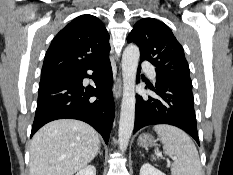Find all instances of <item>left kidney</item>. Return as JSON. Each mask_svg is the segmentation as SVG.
Listing matches in <instances>:
<instances>
[{"label": "left kidney", "mask_w": 233, "mask_h": 175, "mask_svg": "<svg viewBox=\"0 0 233 175\" xmlns=\"http://www.w3.org/2000/svg\"><path fill=\"white\" fill-rule=\"evenodd\" d=\"M140 175H166L150 164H143L140 169Z\"/></svg>", "instance_id": "1"}]
</instances>
